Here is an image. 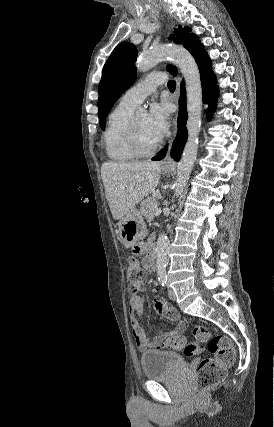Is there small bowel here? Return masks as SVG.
<instances>
[{"label":"small bowel","instance_id":"obj_1","mask_svg":"<svg viewBox=\"0 0 274 427\" xmlns=\"http://www.w3.org/2000/svg\"><path fill=\"white\" fill-rule=\"evenodd\" d=\"M147 242H142L137 246V252L142 256V265L146 271L152 272L155 267L149 261L148 258L144 257L147 249ZM152 308H157L158 313H169L170 312V300L169 299H152L150 302ZM128 310L130 314V325L135 338L138 349L145 353L150 350L157 349L160 343L170 337L182 334L186 330V323L177 316L171 320L177 322V327L170 332H160L153 338H148L143 327L140 325L139 317H143L145 314V300L139 294L132 295L128 300Z\"/></svg>","mask_w":274,"mask_h":427}]
</instances>
